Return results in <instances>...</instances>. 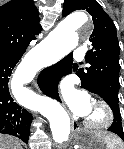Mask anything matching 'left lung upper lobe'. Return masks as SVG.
Masks as SVG:
<instances>
[{
  "label": "left lung upper lobe",
  "instance_id": "5c2ea615",
  "mask_svg": "<svg viewBox=\"0 0 124 149\" xmlns=\"http://www.w3.org/2000/svg\"><path fill=\"white\" fill-rule=\"evenodd\" d=\"M80 9L90 13L94 30L89 38L92 48L85 57L90 67L80 69L76 74L83 88L109 97L114 104V114L121 120L118 105L120 48L115 25L96 0H64L62 16Z\"/></svg>",
  "mask_w": 124,
  "mask_h": 149
}]
</instances>
